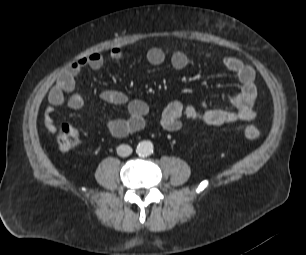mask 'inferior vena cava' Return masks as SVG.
I'll return each instance as SVG.
<instances>
[{"mask_svg": "<svg viewBox=\"0 0 306 255\" xmlns=\"http://www.w3.org/2000/svg\"><path fill=\"white\" fill-rule=\"evenodd\" d=\"M132 153V148L129 145H119L117 147V154L121 157H127Z\"/></svg>", "mask_w": 306, "mask_h": 255, "instance_id": "inferior-vena-cava-1", "label": "inferior vena cava"}]
</instances>
